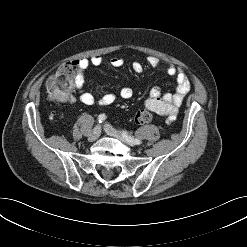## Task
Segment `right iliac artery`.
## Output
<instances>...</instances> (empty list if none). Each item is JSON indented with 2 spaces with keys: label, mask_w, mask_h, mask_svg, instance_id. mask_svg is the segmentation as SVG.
I'll return each mask as SVG.
<instances>
[{
  "label": "right iliac artery",
  "mask_w": 247,
  "mask_h": 247,
  "mask_svg": "<svg viewBox=\"0 0 247 247\" xmlns=\"http://www.w3.org/2000/svg\"><path fill=\"white\" fill-rule=\"evenodd\" d=\"M106 120V115L105 114H100L99 116H98V122L99 123H102L103 121H105Z\"/></svg>",
  "instance_id": "82829eb1"
}]
</instances>
